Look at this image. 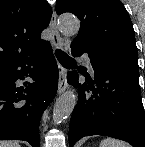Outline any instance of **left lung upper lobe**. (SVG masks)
I'll return each instance as SVG.
<instances>
[{"instance_id":"obj_1","label":"left lung upper lobe","mask_w":145,"mask_h":147,"mask_svg":"<svg viewBox=\"0 0 145 147\" xmlns=\"http://www.w3.org/2000/svg\"><path fill=\"white\" fill-rule=\"evenodd\" d=\"M56 12H71L81 21L72 44L96 53L137 56L133 24L120 0H57Z\"/></svg>"}]
</instances>
